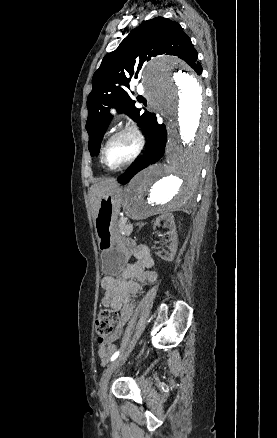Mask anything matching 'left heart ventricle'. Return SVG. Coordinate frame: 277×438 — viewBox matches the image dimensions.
<instances>
[{
    "instance_id": "obj_1",
    "label": "left heart ventricle",
    "mask_w": 277,
    "mask_h": 438,
    "mask_svg": "<svg viewBox=\"0 0 277 438\" xmlns=\"http://www.w3.org/2000/svg\"><path fill=\"white\" fill-rule=\"evenodd\" d=\"M134 149V139L128 135L121 136L112 141L107 148L106 161L111 167L119 166L130 158Z\"/></svg>"
}]
</instances>
